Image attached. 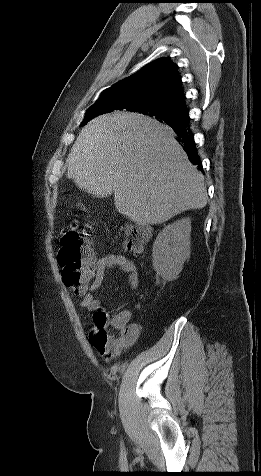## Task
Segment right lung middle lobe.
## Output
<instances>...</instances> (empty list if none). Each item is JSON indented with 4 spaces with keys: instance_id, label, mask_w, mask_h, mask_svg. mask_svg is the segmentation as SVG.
I'll return each mask as SVG.
<instances>
[{
    "instance_id": "1",
    "label": "right lung middle lobe",
    "mask_w": 261,
    "mask_h": 476,
    "mask_svg": "<svg viewBox=\"0 0 261 476\" xmlns=\"http://www.w3.org/2000/svg\"><path fill=\"white\" fill-rule=\"evenodd\" d=\"M120 99L121 97L119 94H113L98 99L96 103L86 111L81 126H84L87 122H89L91 119L98 115L116 110H127L131 112L141 113L144 115L155 117L161 122H165L167 124L179 122L185 115L184 111L159 102H145L121 107V104L119 102Z\"/></svg>"
}]
</instances>
